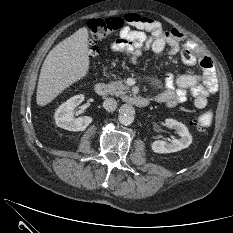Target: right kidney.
Instances as JSON below:
<instances>
[{
    "mask_svg": "<svg viewBox=\"0 0 233 233\" xmlns=\"http://www.w3.org/2000/svg\"><path fill=\"white\" fill-rule=\"evenodd\" d=\"M83 100L84 95L80 94L60 105L54 114L56 125L69 131H84L92 123V117L84 116L76 119L73 117L75 107L80 105Z\"/></svg>",
    "mask_w": 233,
    "mask_h": 233,
    "instance_id": "obj_1",
    "label": "right kidney"
}]
</instances>
